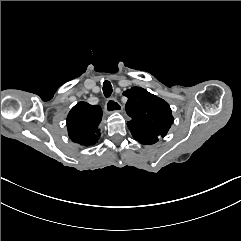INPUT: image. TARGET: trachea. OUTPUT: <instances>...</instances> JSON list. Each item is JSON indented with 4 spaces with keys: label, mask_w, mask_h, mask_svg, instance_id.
<instances>
[{
    "label": "trachea",
    "mask_w": 241,
    "mask_h": 241,
    "mask_svg": "<svg viewBox=\"0 0 241 241\" xmlns=\"http://www.w3.org/2000/svg\"><path fill=\"white\" fill-rule=\"evenodd\" d=\"M112 85L109 81H104L103 83V93L106 98H109L112 94Z\"/></svg>",
    "instance_id": "3493384b"
}]
</instances>
